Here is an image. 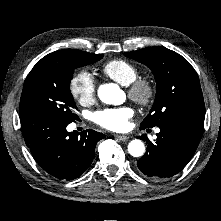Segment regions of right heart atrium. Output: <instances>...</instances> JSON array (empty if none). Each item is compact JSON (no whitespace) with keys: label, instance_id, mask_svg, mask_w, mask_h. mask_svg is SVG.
Returning a JSON list of instances; mask_svg holds the SVG:
<instances>
[{"label":"right heart atrium","instance_id":"obj_1","mask_svg":"<svg viewBox=\"0 0 221 221\" xmlns=\"http://www.w3.org/2000/svg\"><path fill=\"white\" fill-rule=\"evenodd\" d=\"M71 95L82 105H88L95 99V82L87 71H79L73 75L69 83Z\"/></svg>","mask_w":221,"mask_h":221}]
</instances>
